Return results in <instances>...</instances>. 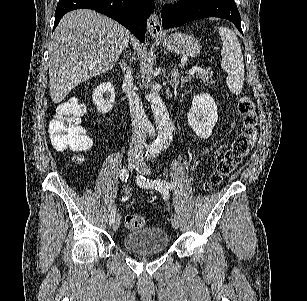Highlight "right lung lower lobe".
Instances as JSON below:
<instances>
[{"instance_id": "1", "label": "right lung lower lobe", "mask_w": 307, "mask_h": 301, "mask_svg": "<svg viewBox=\"0 0 307 301\" xmlns=\"http://www.w3.org/2000/svg\"><path fill=\"white\" fill-rule=\"evenodd\" d=\"M88 8L107 15L130 30L144 42L147 19L154 10L152 0H59L54 29L67 12ZM53 29V30H54Z\"/></svg>"}]
</instances>
